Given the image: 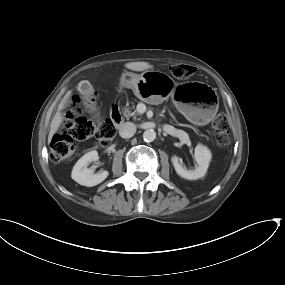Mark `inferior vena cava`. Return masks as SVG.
Instances as JSON below:
<instances>
[{"mask_svg": "<svg viewBox=\"0 0 285 285\" xmlns=\"http://www.w3.org/2000/svg\"><path fill=\"white\" fill-rule=\"evenodd\" d=\"M136 132V125L132 122H126L119 128V134L122 138H130Z\"/></svg>", "mask_w": 285, "mask_h": 285, "instance_id": "obj_1", "label": "inferior vena cava"}]
</instances>
